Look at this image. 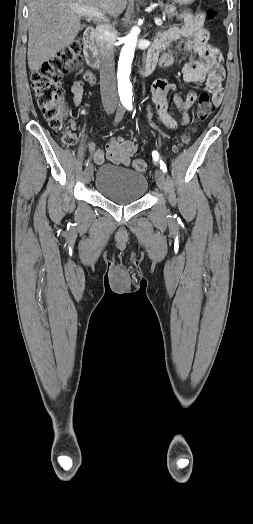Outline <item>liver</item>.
<instances>
[{"label": "liver", "instance_id": "1", "mask_svg": "<svg viewBox=\"0 0 253 524\" xmlns=\"http://www.w3.org/2000/svg\"><path fill=\"white\" fill-rule=\"evenodd\" d=\"M74 5L118 17L127 0H29L27 58L32 72L70 45L85 27L82 15L73 11Z\"/></svg>", "mask_w": 253, "mask_h": 524}]
</instances>
